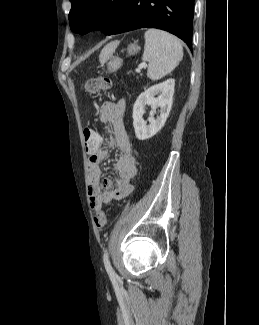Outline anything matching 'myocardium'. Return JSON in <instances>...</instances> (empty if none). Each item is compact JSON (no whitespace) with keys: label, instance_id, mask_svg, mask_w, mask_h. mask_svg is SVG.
Listing matches in <instances>:
<instances>
[{"label":"myocardium","instance_id":"myocardium-1","mask_svg":"<svg viewBox=\"0 0 259 325\" xmlns=\"http://www.w3.org/2000/svg\"><path fill=\"white\" fill-rule=\"evenodd\" d=\"M99 15H100V16H105V15H107V11L102 10V11H100Z\"/></svg>","mask_w":259,"mask_h":325}]
</instances>
